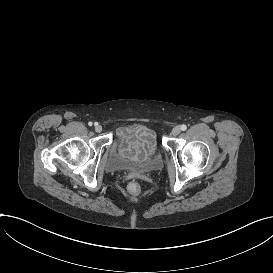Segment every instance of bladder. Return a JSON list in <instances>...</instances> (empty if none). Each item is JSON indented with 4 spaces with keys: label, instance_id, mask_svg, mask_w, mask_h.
Masks as SVG:
<instances>
[{
    "label": "bladder",
    "instance_id": "obj_1",
    "mask_svg": "<svg viewBox=\"0 0 273 273\" xmlns=\"http://www.w3.org/2000/svg\"><path fill=\"white\" fill-rule=\"evenodd\" d=\"M163 166L161 153L157 150L151 158L138 163L130 162L118 154V142L115 140L109 150L106 168L110 172H137L141 174L158 171Z\"/></svg>",
    "mask_w": 273,
    "mask_h": 273
}]
</instances>
